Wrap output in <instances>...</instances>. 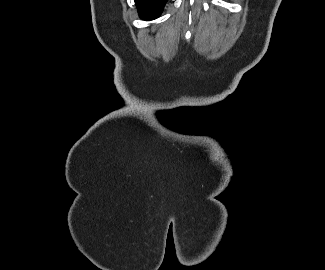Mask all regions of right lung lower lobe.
I'll use <instances>...</instances> for the list:
<instances>
[{"mask_svg":"<svg viewBox=\"0 0 325 270\" xmlns=\"http://www.w3.org/2000/svg\"><path fill=\"white\" fill-rule=\"evenodd\" d=\"M167 0H135L139 15L144 20H153L163 11Z\"/></svg>","mask_w":325,"mask_h":270,"instance_id":"1","label":"right lung lower lobe"}]
</instances>
